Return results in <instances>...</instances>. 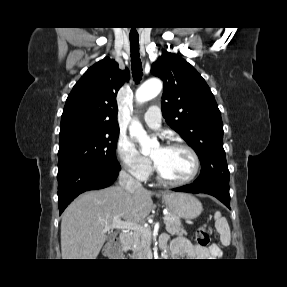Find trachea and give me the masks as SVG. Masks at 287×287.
<instances>
[{"instance_id": "3493384b", "label": "trachea", "mask_w": 287, "mask_h": 287, "mask_svg": "<svg viewBox=\"0 0 287 287\" xmlns=\"http://www.w3.org/2000/svg\"><path fill=\"white\" fill-rule=\"evenodd\" d=\"M131 47L132 73L135 81H140L142 77V66L139 54V37H129Z\"/></svg>"}]
</instances>
